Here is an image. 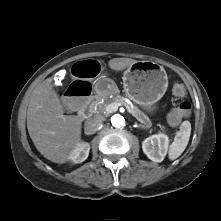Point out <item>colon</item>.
Listing matches in <instances>:
<instances>
[{
    "instance_id": "1",
    "label": "colon",
    "mask_w": 221,
    "mask_h": 221,
    "mask_svg": "<svg viewBox=\"0 0 221 221\" xmlns=\"http://www.w3.org/2000/svg\"><path fill=\"white\" fill-rule=\"evenodd\" d=\"M73 83L64 95V105L68 111L76 112L88 106L89 98L95 89V82L103 76L104 68L100 62L78 59L72 63ZM177 97H184L186 90L181 82H176L172 88ZM191 114V104L182 102L169 115L172 124H178Z\"/></svg>"
}]
</instances>
